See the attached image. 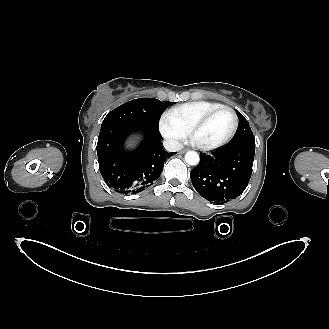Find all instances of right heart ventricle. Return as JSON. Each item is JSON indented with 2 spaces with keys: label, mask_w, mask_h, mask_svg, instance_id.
Instances as JSON below:
<instances>
[{
  "label": "right heart ventricle",
  "mask_w": 329,
  "mask_h": 329,
  "mask_svg": "<svg viewBox=\"0 0 329 329\" xmlns=\"http://www.w3.org/2000/svg\"><path fill=\"white\" fill-rule=\"evenodd\" d=\"M221 106L219 102L194 101L170 109L167 115L187 133L198 120Z\"/></svg>",
  "instance_id": "1"
}]
</instances>
